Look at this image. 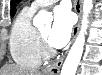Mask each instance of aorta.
<instances>
[{
  "label": "aorta",
  "instance_id": "obj_1",
  "mask_svg": "<svg viewBox=\"0 0 102 75\" xmlns=\"http://www.w3.org/2000/svg\"><path fill=\"white\" fill-rule=\"evenodd\" d=\"M93 8V0H84L83 1V17L81 23L80 32L72 45L65 62L63 64L60 75H75L77 67L80 63L84 44H85V34L87 32L89 20L88 15ZM52 15L48 12L41 10L33 19V24L36 27H42L44 25L50 26L52 22Z\"/></svg>",
  "mask_w": 102,
  "mask_h": 75
}]
</instances>
